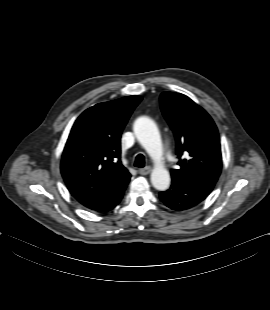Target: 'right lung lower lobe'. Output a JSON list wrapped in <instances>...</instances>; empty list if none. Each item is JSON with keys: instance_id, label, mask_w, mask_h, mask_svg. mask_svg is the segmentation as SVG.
Segmentation results:
<instances>
[{"instance_id": "1", "label": "right lung lower lobe", "mask_w": 270, "mask_h": 310, "mask_svg": "<svg viewBox=\"0 0 270 310\" xmlns=\"http://www.w3.org/2000/svg\"><path fill=\"white\" fill-rule=\"evenodd\" d=\"M130 177L131 175L122 178L119 182L102 194L83 200L80 203L86 208L98 212H107L113 209L122 199Z\"/></svg>"}]
</instances>
